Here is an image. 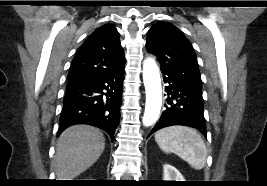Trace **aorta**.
Returning <instances> with one entry per match:
<instances>
[{
    "label": "aorta",
    "mask_w": 267,
    "mask_h": 186,
    "mask_svg": "<svg viewBox=\"0 0 267 186\" xmlns=\"http://www.w3.org/2000/svg\"><path fill=\"white\" fill-rule=\"evenodd\" d=\"M143 81L146 90L143 124L145 126H151L157 121L162 105V87L159 68L152 58H147L144 61Z\"/></svg>",
    "instance_id": "aorta-1"
}]
</instances>
